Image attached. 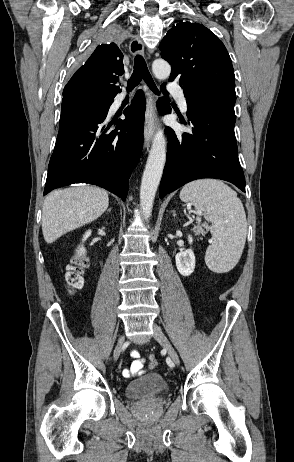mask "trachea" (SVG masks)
Here are the masks:
<instances>
[{
	"mask_svg": "<svg viewBox=\"0 0 294 462\" xmlns=\"http://www.w3.org/2000/svg\"><path fill=\"white\" fill-rule=\"evenodd\" d=\"M142 79H144V81L154 93L159 94L151 74L148 71L144 58L141 55H136L134 59V71L130 80L128 81L127 90L134 89V87H136Z\"/></svg>",
	"mask_w": 294,
	"mask_h": 462,
	"instance_id": "1",
	"label": "trachea"
}]
</instances>
